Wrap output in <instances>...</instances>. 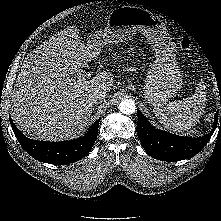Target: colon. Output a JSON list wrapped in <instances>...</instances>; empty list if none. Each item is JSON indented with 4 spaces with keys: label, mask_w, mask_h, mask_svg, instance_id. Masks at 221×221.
Listing matches in <instances>:
<instances>
[{
    "label": "colon",
    "mask_w": 221,
    "mask_h": 221,
    "mask_svg": "<svg viewBox=\"0 0 221 221\" xmlns=\"http://www.w3.org/2000/svg\"><path fill=\"white\" fill-rule=\"evenodd\" d=\"M180 46H181L182 49L187 50V49L190 48L191 42L188 38H184V39L181 40Z\"/></svg>",
    "instance_id": "obj_1"
}]
</instances>
